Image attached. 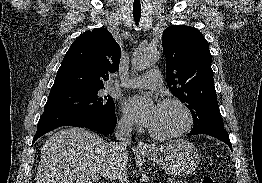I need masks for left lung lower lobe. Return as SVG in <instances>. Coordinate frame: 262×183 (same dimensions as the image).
<instances>
[{
  "label": "left lung lower lobe",
  "mask_w": 262,
  "mask_h": 183,
  "mask_svg": "<svg viewBox=\"0 0 262 183\" xmlns=\"http://www.w3.org/2000/svg\"><path fill=\"white\" fill-rule=\"evenodd\" d=\"M197 134H207L213 136L225 142L232 150V144L230 142L229 135L225 128H220V127L206 128L202 130L191 131L190 133H188V135H197Z\"/></svg>",
  "instance_id": "left-lung-lower-lobe-1"
}]
</instances>
